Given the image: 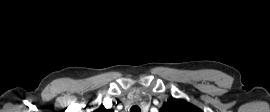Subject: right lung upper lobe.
I'll return each instance as SVG.
<instances>
[{
  "instance_id": "cb5924a9",
  "label": "right lung upper lobe",
  "mask_w": 270,
  "mask_h": 112,
  "mask_svg": "<svg viewBox=\"0 0 270 112\" xmlns=\"http://www.w3.org/2000/svg\"><path fill=\"white\" fill-rule=\"evenodd\" d=\"M94 112H114V111L111 109H105L103 106H101L100 109H97Z\"/></svg>"
}]
</instances>
